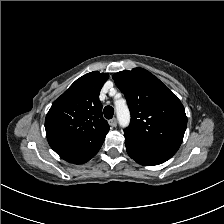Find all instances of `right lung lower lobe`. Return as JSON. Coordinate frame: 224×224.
Returning <instances> with one entry per match:
<instances>
[{"label":"right lung lower lobe","instance_id":"right-lung-lower-lobe-1","mask_svg":"<svg viewBox=\"0 0 224 224\" xmlns=\"http://www.w3.org/2000/svg\"><path fill=\"white\" fill-rule=\"evenodd\" d=\"M47 139L51 148L62 159L74 164H82L90 160L96 155L103 144L88 146L69 136L60 134L47 135Z\"/></svg>","mask_w":224,"mask_h":224}]
</instances>
